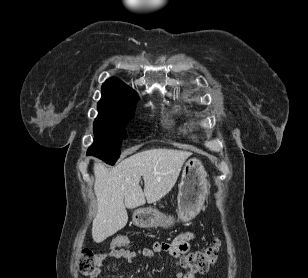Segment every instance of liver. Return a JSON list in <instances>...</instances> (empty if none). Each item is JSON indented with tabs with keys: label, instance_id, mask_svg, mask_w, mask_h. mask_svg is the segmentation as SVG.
<instances>
[{
	"label": "liver",
	"instance_id": "6515ba94",
	"mask_svg": "<svg viewBox=\"0 0 308 278\" xmlns=\"http://www.w3.org/2000/svg\"><path fill=\"white\" fill-rule=\"evenodd\" d=\"M191 152L150 149L122 160L114 168L95 162L94 191L98 210L92 224L96 243L121 230L128 221L126 208L155 203L174 187L185 160ZM144 180V190L139 185Z\"/></svg>",
	"mask_w": 308,
	"mask_h": 278
}]
</instances>
